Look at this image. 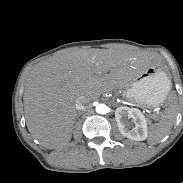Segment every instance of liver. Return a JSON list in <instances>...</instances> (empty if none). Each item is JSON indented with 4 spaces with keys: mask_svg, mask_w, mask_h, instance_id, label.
<instances>
[{
    "mask_svg": "<svg viewBox=\"0 0 183 183\" xmlns=\"http://www.w3.org/2000/svg\"><path fill=\"white\" fill-rule=\"evenodd\" d=\"M141 53L119 49H80L53 56L29 72L23 103L31 136L48 149L66 145L72 137L79 97L89 100L123 89L150 66Z\"/></svg>",
    "mask_w": 183,
    "mask_h": 183,
    "instance_id": "liver-1",
    "label": "liver"
}]
</instances>
